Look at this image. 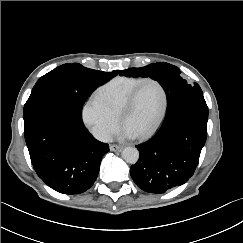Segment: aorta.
<instances>
[{
  "label": "aorta",
  "instance_id": "aorta-1",
  "mask_svg": "<svg viewBox=\"0 0 243 243\" xmlns=\"http://www.w3.org/2000/svg\"><path fill=\"white\" fill-rule=\"evenodd\" d=\"M122 158L130 164H135L139 159V151L135 147H125L121 153Z\"/></svg>",
  "mask_w": 243,
  "mask_h": 243
}]
</instances>
